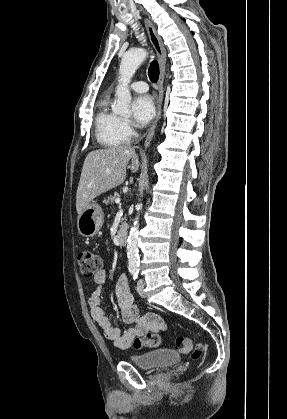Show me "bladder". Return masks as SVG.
<instances>
[{
    "label": "bladder",
    "mask_w": 287,
    "mask_h": 419,
    "mask_svg": "<svg viewBox=\"0 0 287 419\" xmlns=\"http://www.w3.org/2000/svg\"><path fill=\"white\" fill-rule=\"evenodd\" d=\"M130 361L141 369L161 370L177 364L180 357L170 349H158L131 357Z\"/></svg>",
    "instance_id": "bladder-1"
}]
</instances>
